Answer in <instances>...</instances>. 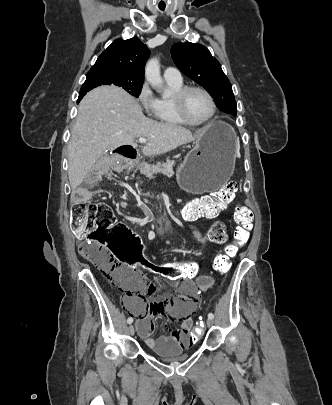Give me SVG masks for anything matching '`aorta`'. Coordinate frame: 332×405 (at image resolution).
<instances>
[{"label":"aorta","mask_w":332,"mask_h":405,"mask_svg":"<svg viewBox=\"0 0 332 405\" xmlns=\"http://www.w3.org/2000/svg\"><path fill=\"white\" fill-rule=\"evenodd\" d=\"M145 77L154 88H161L163 79L160 74V63L157 58L150 59L145 66Z\"/></svg>","instance_id":"aorta-1"}]
</instances>
